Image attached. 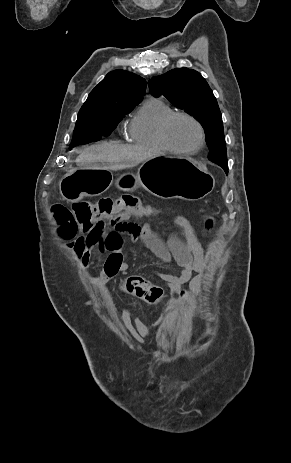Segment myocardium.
Instances as JSON below:
<instances>
[{"mask_svg":"<svg viewBox=\"0 0 291 463\" xmlns=\"http://www.w3.org/2000/svg\"><path fill=\"white\" fill-rule=\"evenodd\" d=\"M176 118H186L192 121L197 126L199 130V141L196 146L189 148V149H183V148H179L176 145H174L173 142L170 140L169 133H168L169 127ZM160 136H161V139L164 145L167 147L168 150L174 153L183 154V155H190V154H195L199 152L205 145V141H206V133H205V129L202 123L193 115L189 113H185V112H174L171 115H169L161 124Z\"/></svg>","mask_w":291,"mask_h":463,"instance_id":"myocardium-1","label":"myocardium"}]
</instances>
